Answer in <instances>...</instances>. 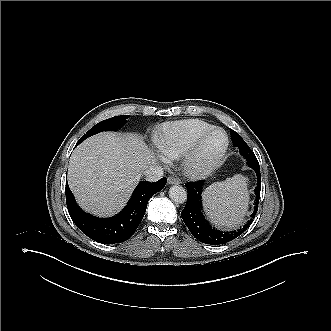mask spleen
Here are the masks:
<instances>
[{"mask_svg":"<svg viewBox=\"0 0 331 331\" xmlns=\"http://www.w3.org/2000/svg\"><path fill=\"white\" fill-rule=\"evenodd\" d=\"M208 217L219 227L237 228L248 209V179L240 174L211 184L203 192Z\"/></svg>","mask_w":331,"mask_h":331,"instance_id":"3e777b00","label":"spleen"}]
</instances>
